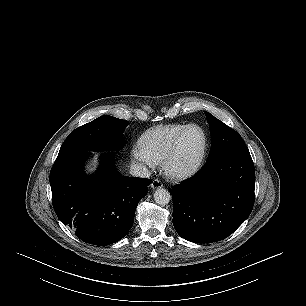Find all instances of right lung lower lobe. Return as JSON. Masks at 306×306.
<instances>
[{
    "label": "right lung lower lobe",
    "instance_id": "98d812e1",
    "mask_svg": "<svg viewBox=\"0 0 306 306\" xmlns=\"http://www.w3.org/2000/svg\"><path fill=\"white\" fill-rule=\"evenodd\" d=\"M88 153L55 163L50 172L53 208L60 221L82 241L109 245L130 230L136 207L147 194L149 179L122 176L102 157L94 176L83 172Z\"/></svg>",
    "mask_w": 306,
    "mask_h": 306
}]
</instances>
